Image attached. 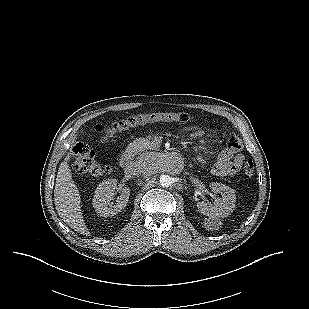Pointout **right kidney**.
<instances>
[{"mask_svg": "<svg viewBox=\"0 0 309 309\" xmlns=\"http://www.w3.org/2000/svg\"><path fill=\"white\" fill-rule=\"evenodd\" d=\"M116 179H108L97 187L93 198V207L100 216L105 218L114 216L118 212L127 206L130 188L128 186L120 187L121 195L117 198L116 203L111 202L115 194V190H118Z\"/></svg>", "mask_w": 309, "mask_h": 309, "instance_id": "1", "label": "right kidney"}]
</instances>
